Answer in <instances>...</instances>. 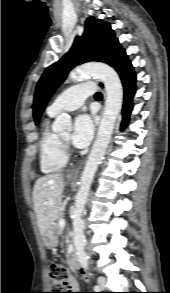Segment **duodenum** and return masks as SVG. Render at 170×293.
Masks as SVG:
<instances>
[{
    "label": "duodenum",
    "mask_w": 170,
    "mask_h": 293,
    "mask_svg": "<svg viewBox=\"0 0 170 293\" xmlns=\"http://www.w3.org/2000/svg\"><path fill=\"white\" fill-rule=\"evenodd\" d=\"M71 263L75 269H80L78 259L76 258V256L74 254H72V256H71Z\"/></svg>",
    "instance_id": "1"
}]
</instances>
